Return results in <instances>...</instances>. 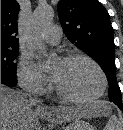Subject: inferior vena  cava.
I'll return each mask as SVG.
<instances>
[{
    "label": "inferior vena cava",
    "mask_w": 123,
    "mask_h": 130,
    "mask_svg": "<svg viewBox=\"0 0 123 130\" xmlns=\"http://www.w3.org/2000/svg\"><path fill=\"white\" fill-rule=\"evenodd\" d=\"M28 96H29V102H30L31 105H35V104L40 103V100L38 99V97L33 96L30 93L28 94Z\"/></svg>",
    "instance_id": "602c4592"
}]
</instances>
